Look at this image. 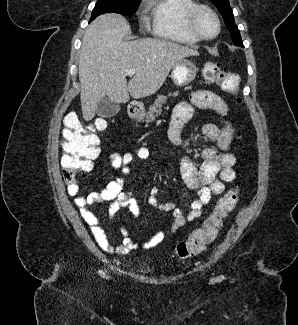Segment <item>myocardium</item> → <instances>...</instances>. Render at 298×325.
<instances>
[{
  "label": "myocardium",
  "mask_w": 298,
  "mask_h": 325,
  "mask_svg": "<svg viewBox=\"0 0 298 325\" xmlns=\"http://www.w3.org/2000/svg\"><path fill=\"white\" fill-rule=\"evenodd\" d=\"M201 12H206L215 24V33L211 37H204L196 28L195 21ZM184 27L186 31L194 36L199 42H210L216 39L220 33V25L216 15L204 5H196L184 17Z\"/></svg>",
  "instance_id": "1"
}]
</instances>
